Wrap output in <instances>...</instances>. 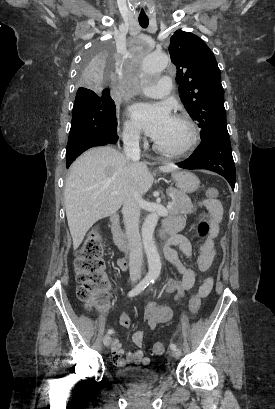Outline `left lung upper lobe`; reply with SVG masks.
I'll return each instance as SVG.
<instances>
[{"instance_id":"left-lung-upper-lobe-1","label":"left lung upper lobe","mask_w":275,"mask_h":409,"mask_svg":"<svg viewBox=\"0 0 275 409\" xmlns=\"http://www.w3.org/2000/svg\"><path fill=\"white\" fill-rule=\"evenodd\" d=\"M169 52L177 67L181 101L199 122L201 141L228 135L221 73L213 52L198 36L182 30L171 37Z\"/></svg>"}]
</instances>
